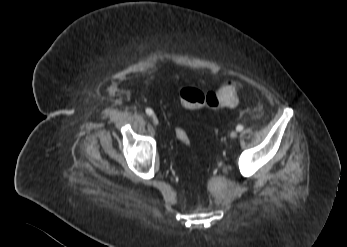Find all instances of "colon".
I'll list each match as a JSON object with an SVG mask.
<instances>
[{
	"label": "colon",
	"mask_w": 347,
	"mask_h": 247,
	"mask_svg": "<svg viewBox=\"0 0 347 247\" xmlns=\"http://www.w3.org/2000/svg\"><path fill=\"white\" fill-rule=\"evenodd\" d=\"M181 104L189 109L207 107L213 110L229 108L237 103L236 88L232 83H225L216 91L203 92L195 87H185L179 92ZM177 140L184 146H190V137L187 131L177 126L174 129Z\"/></svg>",
	"instance_id": "5ec220e1"
}]
</instances>
